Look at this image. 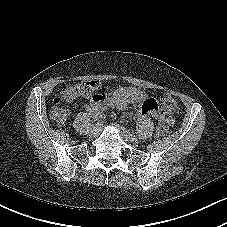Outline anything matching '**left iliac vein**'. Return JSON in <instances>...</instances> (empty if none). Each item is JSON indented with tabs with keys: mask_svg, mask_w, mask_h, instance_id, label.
<instances>
[{
	"mask_svg": "<svg viewBox=\"0 0 227 227\" xmlns=\"http://www.w3.org/2000/svg\"><path fill=\"white\" fill-rule=\"evenodd\" d=\"M119 127V126H118ZM121 129V136L125 141H130L132 143H138L139 140H136V136L130 133L128 130H126L123 127H120Z\"/></svg>",
	"mask_w": 227,
	"mask_h": 227,
	"instance_id": "obj_1",
	"label": "left iliac vein"
}]
</instances>
